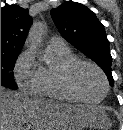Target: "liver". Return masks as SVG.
Segmentation results:
<instances>
[{
	"label": "liver",
	"mask_w": 123,
	"mask_h": 130,
	"mask_svg": "<svg viewBox=\"0 0 123 130\" xmlns=\"http://www.w3.org/2000/svg\"><path fill=\"white\" fill-rule=\"evenodd\" d=\"M101 120L97 107L29 98L1 86V130H72L100 127Z\"/></svg>",
	"instance_id": "1"
}]
</instances>
